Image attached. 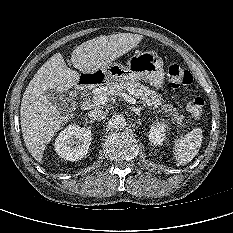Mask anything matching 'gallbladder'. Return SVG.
Masks as SVG:
<instances>
[{"label": "gallbladder", "instance_id": "bac80fb5", "mask_svg": "<svg viewBox=\"0 0 233 233\" xmlns=\"http://www.w3.org/2000/svg\"><path fill=\"white\" fill-rule=\"evenodd\" d=\"M45 95L59 110H65L69 107L70 100L63 93L47 90Z\"/></svg>", "mask_w": 233, "mask_h": 233}]
</instances>
